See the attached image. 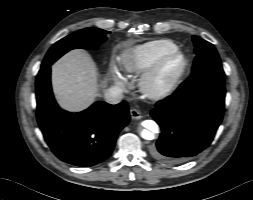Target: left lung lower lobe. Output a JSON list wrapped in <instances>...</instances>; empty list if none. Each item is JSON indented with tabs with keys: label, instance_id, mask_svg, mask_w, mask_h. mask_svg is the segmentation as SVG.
Returning a JSON list of instances; mask_svg holds the SVG:
<instances>
[{
	"label": "left lung lower lobe",
	"instance_id": "obj_1",
	"mask_svg": "<svg viewBox=\"0 0 253 200\" xmlns=\"http://www.w3.org/2000/svg\"><path fill=\"white\" fill-rule=\"evenodd\" d=\"M225 81L205 77L184 82L155 104L151 117L161 134L151 155L166 163H181L209 146L224 113Z\"/></svg>",
	"mask_w": 253,
	"mask_h": 200
}]
</instances>
